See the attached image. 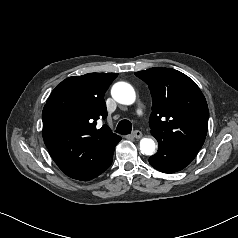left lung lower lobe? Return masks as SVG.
Listing matches in <instances>:
<instances>
[{
	"instance_id": "0a47b994",
	"label": "left lung lower lobe",
	"mask_w": 238,
	"mask_h": 238,
	"mask_svg": "<svg viewBox=\"0 0 238 238\" xmlns=\"http://www.w3.org/2000/svg\"><path fill=\"white\" fill-rule=\"evenodd\" d=\"M197 153V150L176 146L169 142H161L158 152L149 158V163L158 171L174 173L189 165Z\"/></svg>"
}]
</instances>
